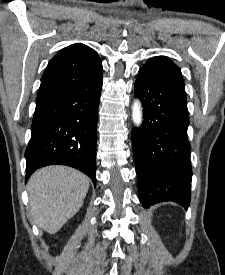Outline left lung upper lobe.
<instances>
[{
	"instance_id": "5c2ea615",
	"label": "left lung upper lobe",
	"mask_w": 225,
	"mask_h": 275,
	"mask_svg": "<svg viewBox=\"0 0 225 275\" xmlns=\"http://www.w3.org/2000/svg\"><path fill=\"white\" fill-rule=\"evenodd\" d=\"M141 70L185 92V84L180 68L166 56L151 58L145 63Z\"/></svg>"
}]
</instances>
